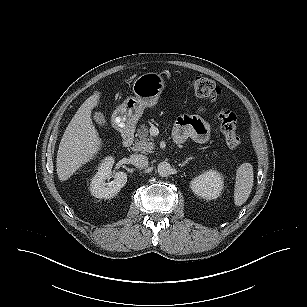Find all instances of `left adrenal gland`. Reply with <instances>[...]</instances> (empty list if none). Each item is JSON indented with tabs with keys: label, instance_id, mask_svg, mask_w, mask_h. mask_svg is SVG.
Returning a JSON list of instances; mask_svg holds the SVG:
<instances>
[{
	"label": "left adrenal gland",
	"instance_id": "a2214340",
	"mask_svg": "<svg viewBox=\"0 0 307 307\" xmlns=\"http://www.w3.org/2000/svg\"><path fill=\"white\" fill-rule=\"evenodd\" d=\"M192 158L186 159L182 164L181 167L185 166Z\"/></svg>",
	"mask_w": 307,
	"mask_h": 307
}]
</instances>
